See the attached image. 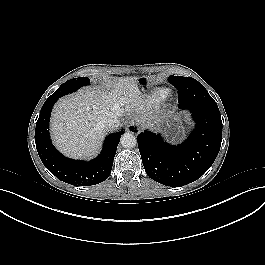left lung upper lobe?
I'll use <instances>...</instances> for the list:
<instances>
[{"instance_id":"left-lung-upper-lobe-1","label":"left lung upper lobe","mask_w":265,"mask_h":265,"mask_svg":"<svg viewBox=\"0 0 265 265\" xmlns=\"http://www.w3.org/2000/svg\"><path fill=\"white\" fill-rule=\"evenodd\" d=\"M191 80H195L191 77H182V76H170L168 78V81L172 84V85H175V84H178V83H181V82H187V81H191ZM197 81V80H196ZM206 99L208 101H214L211 96L208 94L207 92V95H206Z\"/></svg>"}]
</instances>
